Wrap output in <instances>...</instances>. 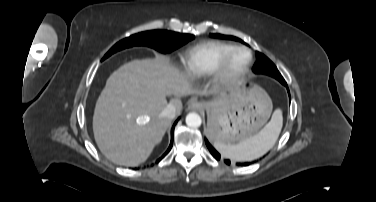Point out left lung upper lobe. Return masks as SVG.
Masks as SVG:
<instances>
[{"label":"left lung upper lobe","instance_id":"1","mask_svg":"<svg viewBox=\"0 0 376 202\" xmlns=\"http://www.w3.org/2000/svg\"><path fill=\"white\" fill-rule=\"evenodd\" d=\"M211 37L221 38V39H229L242 42L239 38L234 36H227L221 34H210ZM253 71L255 73H263L270 75L280 81L281 83L284 82V78L276 68V66L262 53L256 52V62L253 67Z\"/></svg>","mask_w":376,"mask_h":202}]
</instances>
